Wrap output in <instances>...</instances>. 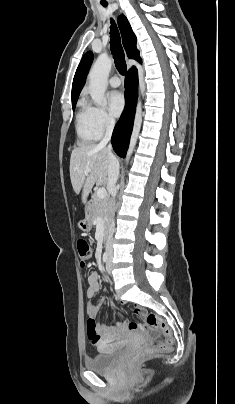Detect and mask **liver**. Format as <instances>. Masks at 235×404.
I'll return each instance as SVG.
<instances>
[{"instance_id": "6515ba94", "label": "liver", "mask_w": 235, "mask_h": 404, "mask_svg": "<svg viewBox=\"0 0 235 404\" xmlns=\"http://www.w3.org/2000/svg\"><path fill=\"white\" fill-rule=\"evenodd\" d=\"M90 169L85 174L86 169ZM109 155L105 145L90 144L74 148L70 158V179L75 193L82 190V202L87 204V198L96 185H103L108 176Z\"/></svg>"}]
</instances>
